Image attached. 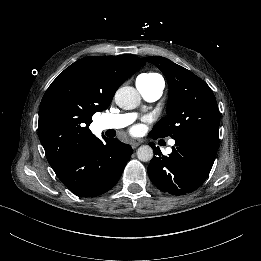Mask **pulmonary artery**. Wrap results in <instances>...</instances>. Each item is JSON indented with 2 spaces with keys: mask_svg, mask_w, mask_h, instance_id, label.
<instances>
[{
  "mask_svg": "<svg viewBox=\"0 0 261 261\" xmlns=\"http://www.w3.org/2000/svg\"><path fill=\"white\" fill-rule=\"evenodd\" d=\"M136 86L141 96L147 102L157 101L163 94L164 84L157 83L154 85H145L144 82L140 79L136 80ZM136 114L134 113H125V114H111L107 115L103 120V126L106 129H122L127 127L134 119ZM175 145V140L171 139L169 141V151Z\"/></svg>",
  "mask_w": 261,
  "mask_h": 261,
  "instance_id": "e3ab8cb5",
  "label": "pulmonary artery"
}]
</instances>
